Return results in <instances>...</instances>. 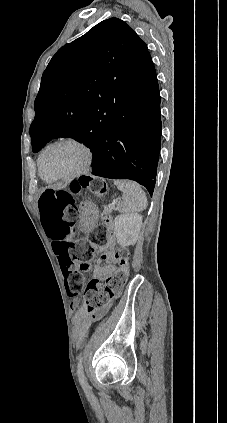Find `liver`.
I'll list each match as a JSON object with an SVG mask.
<instances>
[{
  "label": "liver",
  "mask_w": 227,
  "mask_h": 423,
  "mask_svg": "<svg viewBox=\"0 0 227 423\" xmlns=\"http://www.w3.org/2000/svg\"><path fill=\"white\" fill-rule=\"evenodd\" d=\"M67 184H58V186H52V188H57V190H60V188H65Z\"/></svg>",
  "instance_id": "6515ba94"
}]
</instances>
